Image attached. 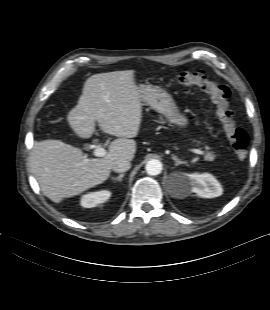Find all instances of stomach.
Returning a JSON list of instances; mask_svg holds the SVG:
<instances>
[{
    "mask_svg": "<svg viewBox=\"0 0 270 310\" xmlns=\"http://www.w3.org/2000/svg\"><path fill=\"white\" fill-rule=\"evenodd\" d=\"M141 99L157 112L163 114L171 126L187 127L188 118L177 109L171 96L158 86H140Z\"/></svg>",
    "mask_w": 270,
    "mask_h": 310,
    "instance_id": "stomach-1",
    "label": "stomach"
}]
</instances>
